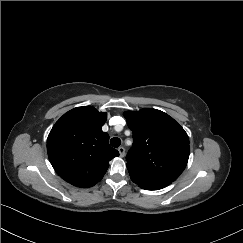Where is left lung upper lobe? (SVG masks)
Returning <instances> with one entry per match:
<instances>
[{
  "label": "left lung upper lobe",
  "instance_id": "1",
  "mask_svg": "<svg viewBox=\"0 0 243 243\" xmlns=\"http://www.w3.org/2000/svg\"><path fill=\"white\" fill-rule=\"evenodd\" d=\"M133 133L126 161L132 181L140 187L175 181L189 158V138L168 114L151 108L124 112Z\"/></svg>",
  "mask_w": 243,
  "mask_h": 243
}]
</instances>
